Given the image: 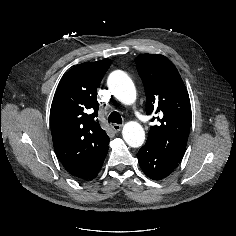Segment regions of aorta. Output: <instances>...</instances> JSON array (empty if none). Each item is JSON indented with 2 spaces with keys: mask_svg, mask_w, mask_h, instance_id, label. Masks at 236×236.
Returning <instances> with one entry per match:
<instances>
[{
  "mask_svg": "<svg viewBox=\"0 0 236 236\" xmlns=\"http://www.w3.org/2000/svg\"><path fill=\"white\" fill-rule=\"evenodd\" d=\"M108 86L115 97L122 103L130 105L136 100V89L131 78L123 71L116 70L108 77ZM122 135L125 142L133 148L142 146L145 140L143 127L134 121L124 125Z\"/></svg>",
  "mask_w": 236,
  "mask_h": 236,
  "instance_id": "aorta-1",
  "label": "aorta"
}]
</instances>
